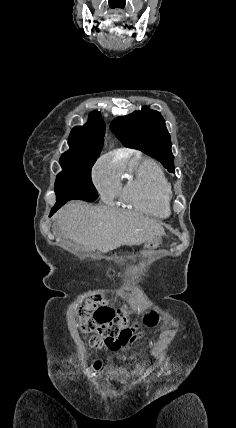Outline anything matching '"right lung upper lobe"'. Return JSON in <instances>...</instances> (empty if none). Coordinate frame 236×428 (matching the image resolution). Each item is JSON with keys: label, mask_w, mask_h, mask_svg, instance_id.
Returning a JSON list of instances; mask_svg holds the SVG:
<instances>
[{"label": "right lung upper lobe", "mask_w": 236, "mask_h": 428, "mask_svg": "<svg viewBox=\"0 0 236 428\" xmlns=\"http://www.w3.org/2000/svg\"><path fill=\"white\" fill-rule=\"evenodd\" d=\"M105 125L100 112L89 114L88 123L72 129L68 144L70 149L60 157L62 165L94 164L103 147Z\"/></svg>", "instance_id": "cb5924a9"}]
</instances>
